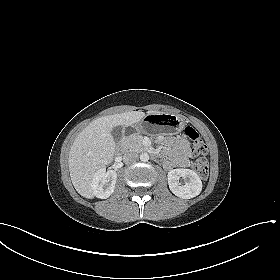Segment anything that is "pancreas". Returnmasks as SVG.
I'll use <instances>...</instances> for the list:
<instances>
[{"instance_id":"obj_1","label":"pancreas","mask_w":280,"mask_h":280,"mask_svg":"<svg viewBox=\"0 0 280 280\" xmlns=\"http://www.w3.org/2000/svg\"><path fill=\"white\" fill-rule=\"evenodd\" d=\"M142 142L143 136L135 135L125 140L124 148L133 152H142L146 149Z\"/></svg>"}]
</instances>
